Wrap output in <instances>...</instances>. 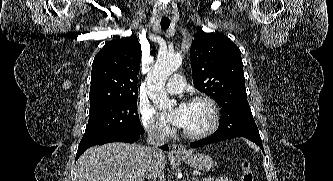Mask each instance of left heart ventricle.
<instances>
[{
    "mask_svg": "<svg viewBox=\"0 0 333 181\" xmlns=\"http://www.w3.org/2000/svg\"><path fill=\"white\" fill-rule=\"evenodd\" d=\"M210 112L204 103H193L188 105V118L184 130L187 132H198L208 126Z\"/></svg>",
    "mask_w": 333,
    "mask_h": 181,
    "instance_id": "left-heart-ventricle-1",
    "label": "left heart ventricle"
}]
</instances>
